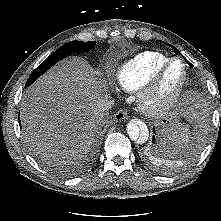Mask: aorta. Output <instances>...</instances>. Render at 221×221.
I'll return each instance as SVG.
<instances>
[{
  "mask_svg": "<svg viewBox=\"0 0 221 221\" xmlns=\"http://www.w3.org/2000/svg\"><path fill=\"white\" fill-rule=\"evenodd\" d=\"M127 133L131 140L138 143H145L149 138V130L147 126L143 123H128Z\"/></svg>",
  "mask_w": 221,
  "mask_h": 221,
  "instance_id": "obj_1",
  "label": "aorta"
}]
</instances>
